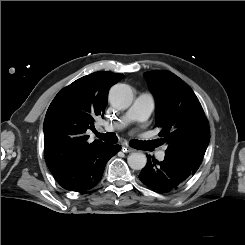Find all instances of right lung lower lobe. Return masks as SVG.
<instances>
[{
	"label": "right lung lower lobe",
	"mask_w": 245,
	"mask_h": 245,
	"mask_svg": "<svg viewBox=\"0 0 245 245\" xmlns=\"http://www.w3.org/2000/svg\"><path fill=\"white\" fill-rule=\"evenodd\" d=\"M121 150L120 145L102 144L95 150L70 161L54 175L61 187L83 192L95 187L101 180L105 165Z\"/></svg>",
	"instance_id": "obj_1"
}]
</instances>
